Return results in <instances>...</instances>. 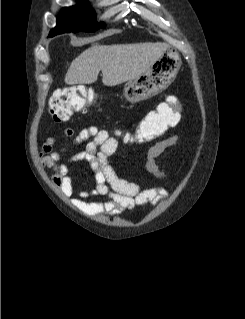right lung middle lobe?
Returning a JSON list of instances; mask_svg holds the SVG:
<instances>
[{
	"label": "right lung middle lobe",
	"instance_id": "obj_1",
	"mask_svg": "<svg viewBox=\"0 0 245 319\" xmlns=\"http://www.w3.org/2000/svg\"><path fill=\"white\" fill-rule=\"evenodd\" d=\"M104 23H97L94 11L87 5H76L64 8L57 19V27L51 31V35L63 32L86 31L93 32Z\"/></svg>",
	"mask_w": 245,
	"mask_h": 319
}]
</instances>
